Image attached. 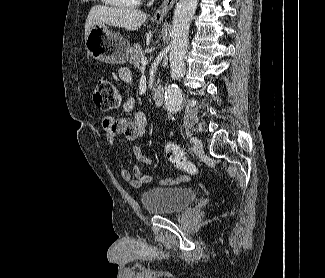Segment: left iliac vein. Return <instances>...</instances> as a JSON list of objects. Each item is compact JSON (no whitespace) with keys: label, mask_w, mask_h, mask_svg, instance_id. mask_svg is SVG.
Listing matches in <instances>:
<instances>
[{"label":"left iliac vein","mask_w":325,"mask_h":278,"mask_svg":"<svg viewBox=\"0 0 325 278\" xmlns=\"http://www.w3.org/2000/svg\"><path fill=\"white\" fill-rule=\"evenodd\" d=\"M193 151L198 156L203 155V146H202V142L199 139H197V142L194 143Z\"/></svg>","instance_id":"1"}]
</instances>
